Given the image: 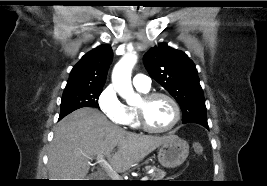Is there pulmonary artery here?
Segmentation results:
<instances>
[{"instance_id": "1", "label": "pulmonary artery", "mask_w": 267, "mask_h": 186, "mask_svg": "<svg viewBox=\"0 0 267 186\" xmlns=\"http://www.w3.org/2000/svg\"><path fill=\"white\" fill-rule=\"evenodd\" d=\"M133 84L136 88L149 90L151 87V79L143 74H137L133 77Z\"/></svg>"}]
</instances>
